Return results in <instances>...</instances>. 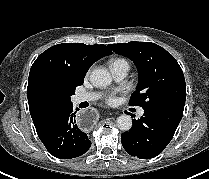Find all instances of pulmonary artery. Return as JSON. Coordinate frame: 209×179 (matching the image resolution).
<instances>
[{
    "mask_svg": "<svg viewBox=\"0 0 209 179\" xmlns=\"http://www.w3.org/2000/svg\"><path fill=\"white\" fill-rule=\"evenodd\" d=\"M111 73L116 81L123 80L130 70V66L126 61H114L110 65ZM100 97V94L95 92H89V93H79L75 95L74 102L75 103H81L86 101H94ZM144 114L143 109L138 110V115L142 116Z\"/></svg>",
    "mask_w": 209,
    "mask_h": 179,
    "instance_id": "obj_1",
    "label": "pulmonary artery"
}]
</instances>
